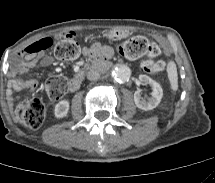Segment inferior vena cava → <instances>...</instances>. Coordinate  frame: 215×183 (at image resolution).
Segmentation results:
<instances>
[{
  "label": "inferior vena cava",
  "mask_w": 215,
  "mask_h": 183,
  "mask_svg": "<svg viewBox=\"0 0 215 183\" xmlns=\"http://www.w3.org/2000/svg\"><path fill=\"white\" fill-rule=\"evenodd\" d=\"M100 77V73L96 70H90L87 72V79L90 81H96Z\"/></svg>",
  "instance_id": "602c4592"
}]
</instances>
